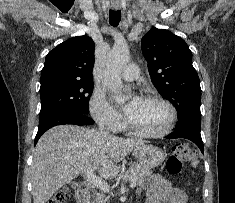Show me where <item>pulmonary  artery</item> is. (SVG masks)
<instances>
[{"label":"pulmonary artery","mask_w":235,"mask_h":203,"mask_svg":"<svg viewBox=\"0 0 235 203\" xmlns=\"http://www.w3.org/2000/svg\"><path fill=\"white\" fill-rule=\"evenodd\" d=\"M138 67L136 64H129L124 67V69L121 72V77L125 81H134L138 78Z\"/></svg>","instance_id":"e3ab8cb5"}]
</instances>
